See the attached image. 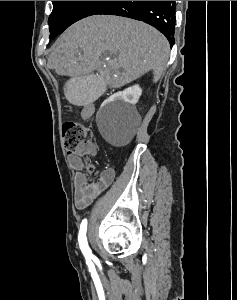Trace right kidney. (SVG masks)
Returning <instances> with one entry per match:
<instances>
[{
	"label": "right kidney",
	"mask_w": 237,
	"mask_h": 300,
	"mask_svg": "<svg viewBox=\"0 0 237 300\" xmlns=\"http://www.w3.org/2000/svg\"><path fill=\"white\" fill-rule=\"evenodd\" d=\"M141 95L142 89H140L139 85H134V87H128V89H125V91L115 93V95H112V97H114V101H121V99H123L125 103H131V105H136Z\"/></svg>",
	"instance_id": "right-kidney-1"
}]
</instances>
